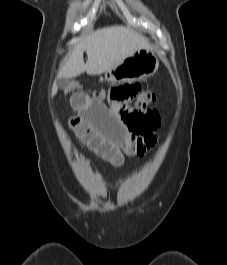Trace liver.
<instances>
[{
  "label": "liver",
  "mask_w": 227,
  "mask_h": 265,
  "mask_svg": "<svg viewBox=\"0 0 227 265\" xmlns=\"http://www.w3.org/2000/svg\"><path fill=\"white\" fill-rule=\"evenodd\" d=\"M150 48L147 39L124 26L97 29L83 37L73 48L67 61L61 66L58 78H74L85 71L88 75H99L121 63L138 49ZM88 59L84 63L83 53ZM56 89L53 88L52 94Z\"/></svg>",
  "instance_id": "1"
}]
</instances>
